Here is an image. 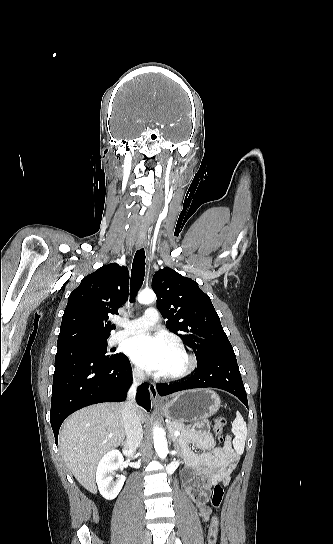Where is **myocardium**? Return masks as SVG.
Returning <instances> with one entry per match:
<instances>
[{
  "instance_id": "f54148a6",
  "label": "myocardium",
  "mask_w": 333,
  "mask_h": 544,
  "mask_svg": "<svg viewBox=\"0 0 333 544\" xmlns=\"http://www.w3.org/2000/svg\"><path fill=\"white\" fill-rule=\"evenodd\" d=\"M171 347L180 353L184 360L185 365L178 371L169 374H160L159 378L164 381H178L188 377L192 374L197 367V359L181 342H171Z\"/></svg>"
}]
</instances>
